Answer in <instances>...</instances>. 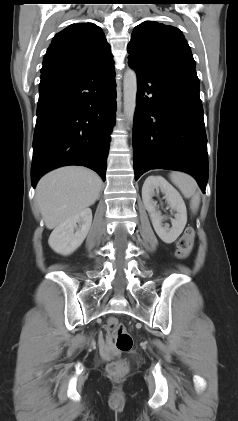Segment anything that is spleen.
<instances>
[{
	"mask_svg": "<svg viewBox=\"0 0 238 421\" xmlns=\"http://www.w3.org/2000/svg\"><path fill=\"white\" fill-rule=\"evenodd\" d=\"M170 178L185 198H191V209L196 212L200 204V193L197 191V183L194 178L182 172H172Z\"/></svg>",
	"mask_w": 238,
	"mask_h": 421,
	"instance_id": "spleen-1",
	"label": "spleen"
}]
</instances>
